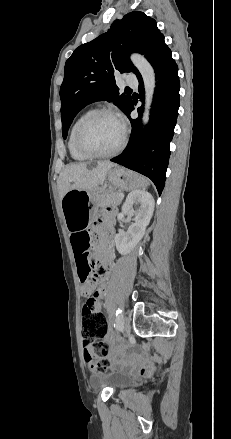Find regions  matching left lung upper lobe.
<instances>
[{
	"instance_id": "left-lung-upper-lobe-1",
	"label": "left lung upper lobe",
	"mask_w": 231,
	"mask_h": 439,
	"mask_svg": "<svg viewBox=\"0 0 231 439\" xmlns=\"http://www.w3.org/2000/svg\"><path fill=\"white\" fill-rule=\"evenodd\" d=\"M167 48L156 21L140 11L115 20L106 33L76 48L66 61L60 87L63 138L77 113L94 101L113 102L125 112L132 98L119 94L114 74L133 72L139 78L130 53L144 54L153 65Z\"/></svg>"
}]
</instances>
